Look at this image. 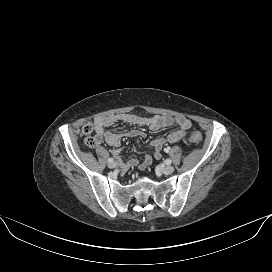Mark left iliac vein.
I'll list each match as a JSON object with an SVG mask.
<instances>
[{
    "label": "left iliac vein",
    "instance_id": "1",
    "mask_svg": "<svg viewBox=\"0 0 272 272\" xmlns=\"http://www.w3.org/2000/svg\"><path fill=\"white\" fill-rule=\"evenodd\" d=\"M160 171L163 173V174H171L173 173L174 171V167L173 166H170V165H164V166H161L160 167Z\"/></svg>",
    "mask_w": 272,
    "mask_h": 272
}]
</instances>
